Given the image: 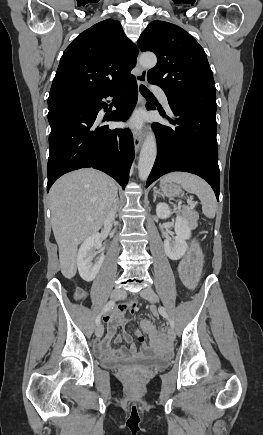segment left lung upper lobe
Returning <instances> with one entry per match:
<instances>
[{"label":"left lung upper lobe","instance_id":"5c2ea615","mask_svg":"<svg viewBox=\"0 0 263 435\" xmlns=\"http://www.w3.org/2000/svg\"><path fill=\"white\" fill-rule=\"evenodd\" d=\"M141 51H152L157 64L147 73L151 84L163 89L169 103L216 111V89L207 56L181 27L153 21L137 41Z\"/></svg>","mask_w":263,"mask_h":435}]
</instances>
